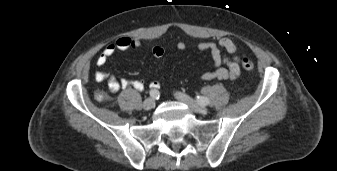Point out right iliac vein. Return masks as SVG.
I'll return each mask as SVG.
<instances>
[{
	"mask_svg": "<svg viewBox=\"0 0 337 171\" xmlns=\"http://www.w3.org/2000/svg\"><path fill=\"white\" fill-rule=\"evenodd\" d=\"M155 107V101L153 98H147L144 102H143V108L145 110H151Z\"/></svg>",
	"mask_w": 337,
	"mask_h": 171,
	"instance_id": "obj_1",
	"label": "right iliac vein"
}]
</instances>
